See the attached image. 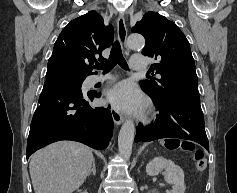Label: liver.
<instances>
[{
  "label": "liver",
  "mask_w": 237,
  "mask_h": 193,
  "mask_svg": "<svg viewBox=\"0 0 237 193\" xmlns=\"http://www.w3.org/2000/svg\"><path fill=\"white\" fill-rule=\"evenodd\" d=\"M94 157L78 142L59 141L31 156L29 171L35 193H72L85 181Z\"/></svg>",
  "instance_id": "obj_1"
}]
</instances>
